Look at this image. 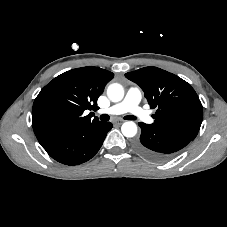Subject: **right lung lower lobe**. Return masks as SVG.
Here are the masks:
<instances>
[{
	"label": "right lung lower lobe",
	"instance_id": "1",
	"mask_svg": "<svg viewBox=\"0 0 227 227\" xmlns=\"http://www.w3.org/2000/svg\"><path fill=\"white\" fill-rule=\"evenodd\" d=\"M111 128L110 122L80 127L59 137L44 149L60 163L78 165L88 161L98 152Z\"/></svg>",
	"mask_w": 227,
	"mask_h": 227
}]
</instances>
